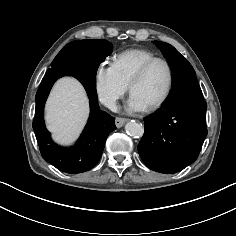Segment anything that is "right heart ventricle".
<instances>
[{
    "label": "right heart ventricle",
    "mask_w": 236,
    "mask_h": 236,
    "mask_svg": "<svg viewBox=\"0 0 236 236\" xmlns=\"http://www.w3.org/2000/svg\"><path fill=\"white\" fill-rule=\"evenodd\" d=\"M155 57L157 56L147 49H127L113 57L112 66L122 82L129 86L131 80L142 65Z\"/></svg>",
    "instance_id": "obj_1"
}]
</instances>
